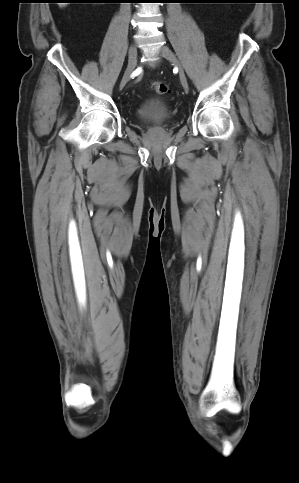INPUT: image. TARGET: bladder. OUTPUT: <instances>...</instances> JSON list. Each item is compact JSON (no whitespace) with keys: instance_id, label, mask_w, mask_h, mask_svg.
<instances>
[{"instance_id":"1","label":"bladder","mask_w":299,"mask_h":483,"mask_svg":"<svg viewBox=\"0 0 299 483\" xmlns=\"http://www.w3.org/2000/svg\"><path fill=\"white\" fill-rule=\"evenodd\" d=\"M172 115L170 108L161 100L150 99L137 111V117L143 122L162 123Z\"/></svg>"}]
</instances>
